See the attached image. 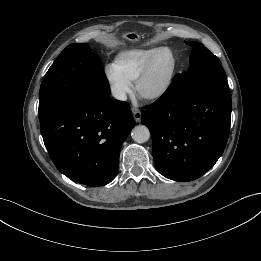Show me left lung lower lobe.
<instances>
[{"label":"left lung lower lobe","instance_id":"0a47b994","mask_svg":"<svg viewBox=\"0 0 261 261\" xmlns=\"http://www.w3.org/2000/svg\"><path fill=\"white\" fill-rule=\"evenodd\" d=\"M173 84L146 107L142 122L152 136L158 171L180 182L205 174L222 155L231 123V93L226 78L197 83L184 97Z\"/></svg>","mask_w":261,"mask_h":261}]
</instances>
